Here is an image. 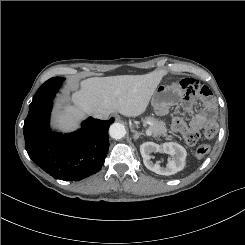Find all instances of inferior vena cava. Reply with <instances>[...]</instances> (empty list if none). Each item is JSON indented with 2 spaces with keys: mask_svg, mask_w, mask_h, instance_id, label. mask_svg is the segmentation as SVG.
Returning <instances> with one entry per match:
<instances>
[{
  "mask_svg": "<svg viewBox=\"0 0 245 245\" xmlns=\"http://www.w3.org/2000/svg\"><path fill=\"white\" fill-rule=\"evenodd\" d=\"M94 117L98 118V119H107L108 118V114L107 113H102V112L95 113Z\"/></svg>",
  "mask_w": 245,
  "mask_h": 245,
  "instance_id": "obj_1",
  "label": "inferior vena cava"
}]
</instances>
